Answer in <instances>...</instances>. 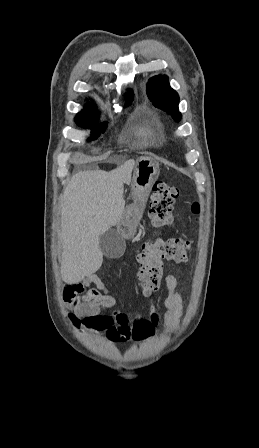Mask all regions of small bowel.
Segmentation results:
<instances>
[{
  "instance_id": "small-bowel-1",
  "label": "small bowel",
  "mask_w": 259,
  "mask_h": 448,
  "mask_svg": "<svg viewBox=\"0 0 259 448\" xmlns=\"http://www.w3.org/2000/svg\"><path fill=\"white\" fill-rule=\"evenodd\" d=\"M96 288L87 289L88 284ZM167 296L164 301L163 324L166 331L175 330L182 316L183 303L178 293L177 279L173 275L165 278ZM65 301L73 311V316L87 329L104 332L112 342L139 341L151 337L160 322L154 305L149 307L146 318H137L131 322L126 315L115 312L103 314L104 309L114 308L117 300L97 275L88 276L83 282L69 286Z\"/></svg>"
}]
</instances>
